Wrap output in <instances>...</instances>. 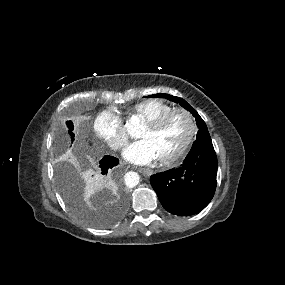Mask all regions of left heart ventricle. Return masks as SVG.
<instances>
[{
    "label": "left heart ventricle",
    "mask_w": 285,
    "mask_h": 285,
    "mask_svg": "<svg viewBox=\"0 0 285 285\" xmlns=\"http://www.w3.org/2000/svg\"><path fill=\"white\" fill-rule=\"evenodd\" d=\"M189 133L186 119L178 114L173 116L159 129H153L146 125L140 134V138L150 140L159 158L176 152L183 144Z\"/></svg>",
    "instance_id": "left-heart-ventricle-1"
}]
</instances>
